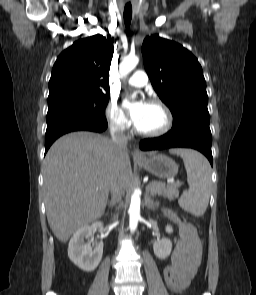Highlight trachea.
Instances as JSON below:
<instances>
[{"instance_id":"trachea-1","label":"trachea","mask_w":256,"mask_h":295,"mask_svg":"<svg viewBox=\"0 0 256 295\" xmlns=\"http://www.w3.org/2000/svg\"><path fill=\"white\" fill-rule=\"evenodd\" d=\"M132 19V6L131 3H127L124 8V23L129 28Z\"/></svg>"}]
</instances>
